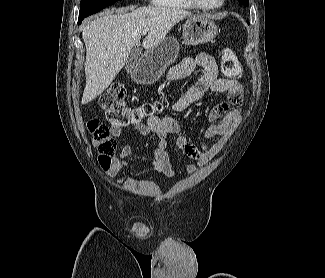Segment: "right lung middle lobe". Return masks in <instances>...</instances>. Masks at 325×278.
<instances>
[{
  "mask_svg": "<svg viewBox=\"0 0 325 278\" xmlns=\"http://www.w3.org/2000/svg\"><path fill=\"white\" fill-rule=\"evenodd\" d=\"M116 1L117 0H81L79 18L88 17Z\"/></svg>",
  "mask_w": 325,
  "mask_h": 278,
  "instance_id": "right-lung-middle-lobe-1",
  "label": "right lung middle lobe"
}]
</instances>
